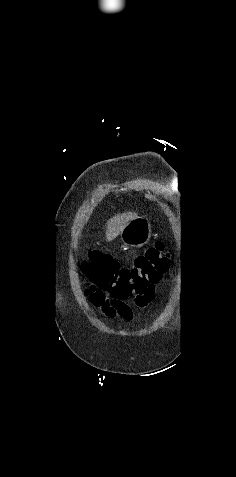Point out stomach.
I'll use <instances>...</instances> for the list:
<instances>
[{"label": "stomach", "instance_id": "stomach-1", "mask_svg": "<svg viewBox=\"0 0 236 477\" xmlns=\"http://www.w3.org/2000/svg\"><path fill=\"white\" fill-rule=\"evenodd\" d=\"M120 237L127 247H141L151 238V224L144 217H136L125 226Z\"/></svg>", "mask_w": 236, "mask_h": 477}]
</instances>
